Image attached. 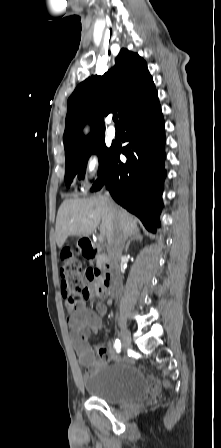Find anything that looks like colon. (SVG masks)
<instances>
[{
  "mask_svg": "<svg viewBox=\"0 0 221 448\" xmlns=\"http://www.w3.org/2000/svg\"><path fill=\"white\" fill-rule=\"evenodd\" d=\"M61 288L65 300L71 304L80 302L86 290V282L100 280L101 274L95 268L84 269L75 255V250L66 247L61 252Z\"/></svg>",
  "mask_w": 221,
  "mask_h": 448,
  "instance_id": "obj_1",
  "label": "colon"
}]
</instances>
